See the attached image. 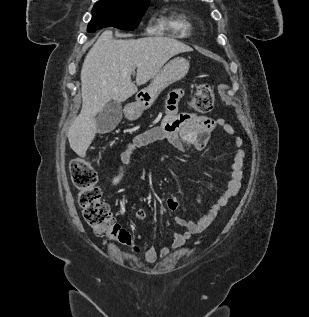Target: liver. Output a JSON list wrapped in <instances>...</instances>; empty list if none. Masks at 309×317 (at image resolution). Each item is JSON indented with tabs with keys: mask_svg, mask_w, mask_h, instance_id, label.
Masks as SVG:
<instances>
[{
	"mask_svg": "<svg viewBox=\"0 0 309 317\" xmlns=\"http://www.w3.org/2000/svg\"><path fill=\"white\" fill-rule=\"evenodd\" d=\"M191 51V47L173 38L117 40L112 31H104L82 65V109L67 133L71 149L85 157L96 135V116L102 108L112 100L126 101L137 92V86L154 78L171 57ZM135 68L136 85L131 80Z\"/></svg>",
	"mask_w": 309,
	"mask_h": 317,
	"instance_id": "1",
	"label": "liver"
}]
</instances>
